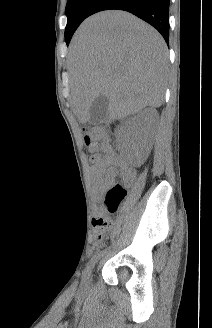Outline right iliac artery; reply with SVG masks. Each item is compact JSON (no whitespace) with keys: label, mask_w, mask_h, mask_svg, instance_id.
<instances>
[{"label":"right iliac artery","mask_w":212,"mask_h":328,"mask_svg":"<svg viewBox=\"0 0 212 328\" xmlns=\"http://www.w3.org/2000/svg\"><path fill=\"white\" fill-rule=\"evenodd\" d=\"M104 251L98 250L95 255L91 258L89 263L87 264L85 271L83 273V282L87 279L88 275L90 274L92 268L94 267L95 263L98 261V259L103 255Z\"/></svg>","instance_id":"right-iliac-artery-1"}]
</instances>
